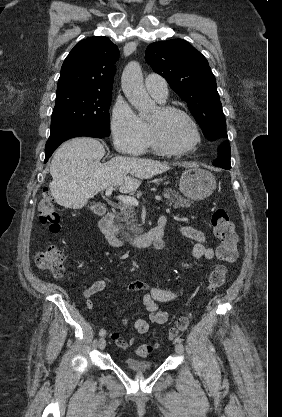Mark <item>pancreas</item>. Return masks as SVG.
I'll return each mask as SVG.
<instances>
[{"mask_svg":"<svg viewBox=\"0 0 282 417\" xmlns=\"http://www.w3.org/2000/svg\"><path fill=\"white\" fill-rule=\"evenodd\" d=\"M163 194L166 198V204L174 206V209H178V206H191V202H193V200L184 198L182 194L172 190V188H164ZM118 209H120V213L116 215L115 221L120 229V237L124 241H130L133 237L141 235L143 229L141 225H138L134 204H119Z\"/></svg>","mask_w":282,"mask_h":417,"instance_id":"pancreas-1","label":"pancreas"}]
</instances>
